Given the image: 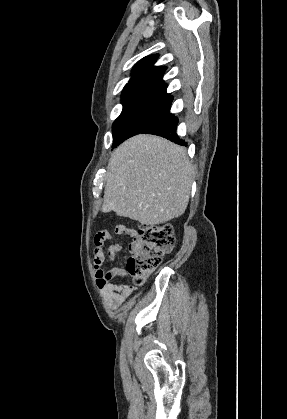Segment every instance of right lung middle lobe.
I'll return each instance as SVG.
<instances>
[{"label":"right lung middle lobe","mask_w":287,"mask_h":419,"mask_svg":"<svg viewBox=\"0 0 287 419\" xmlns=\"http://www.w3.org/2000/svg\"><path fill=\"white\" fill-rule=\"evenodd\" d=\"M169 106L136 107L123 110L114 121L113 148L131 136L139 134L148 125L169 112Z\"/></svg>","instance_id":"obj_1"}]
</instances>
